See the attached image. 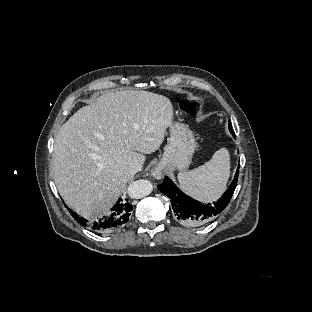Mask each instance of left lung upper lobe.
Segmentation results:
<instances>
[{
    "label": "left lung upper lobe",
    "mask_w": 312,
    "mask_h": 312,
    "mask_svg": "<svg viewBox=\"0 0 312 312\" xmlns=\"http://www.w3.org/2000/svg\"><path fill=\"white\" fill-rule=\"evenodd\" d=\"M229 129H230L231 133L234 135V132H233V130L231 128V125H229Z\"/></svg>",
    "instance_id": "obj_1"
}]
</instances>
